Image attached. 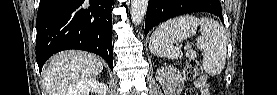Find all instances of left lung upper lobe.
Masks as SVG:
<instances>
[{"mask_svg":"<svg viewBox=\"0 0 277 95\" xmlns=\"http://www.w3.org/2000/svg\"><path fill=\"white\" fill-rule=\"evenodd\" d=\"M209 5H220V2L218 0H209Z\"/></svg>","mask_w":277,"mask_h":95,"instance_id":"1","label":"left lung upper lobe"}]
</instances>
